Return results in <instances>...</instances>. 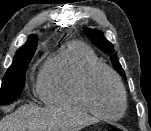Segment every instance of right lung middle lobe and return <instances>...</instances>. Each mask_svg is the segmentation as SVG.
Returning a JSON list of instances; mask_svg holds the SVG:
<instances>
[{
	"mask_svg": "<svg viewBox=\"0 0 151 131\" xmlns=\"http://www.w3.org/2000/svg\"><path fill=\"white\" fill-rule=\"evenodd\" d=\"M37 44L21 47L15 54L12 65L2 80L0 105L13 101L22 92L25 84V73Z\"/></svg>",
	"mask_w": 151,
	"mask_h": 131,
	"instance_id": "dd1d6c3e",
	"label": "right lung middle lobe"
}]
</instances>
